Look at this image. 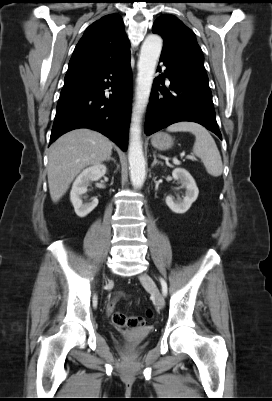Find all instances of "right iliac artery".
<instances>
[{
	"mask_svg": "<svg viewBox=\"0 0 272 401\" xmlns=\"http://www.w3.org/2000/svg\"><path fill=\"white\" fill-rule=\"evenodd\" d=\"M93 305H94L95 307L97 306V297H96V296L94 297Z\"/></svg>",
	"mask_w": 272,
	"mask_h": 401,
	"instance_id": "1",
	"label": "right iliac artery"
}]
</instances>
